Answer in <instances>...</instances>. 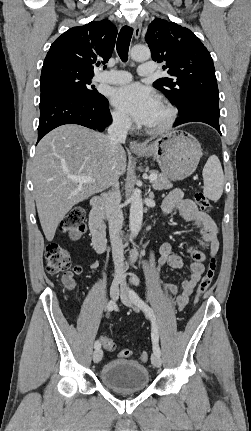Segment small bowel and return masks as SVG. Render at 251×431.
<instances>
[{"label":"small bowel","mask_w":251,"mask_h":431,"mask_svg":"<svg viewBox=\"0 0 251 431\" xmlns=\"http://www.w3.org/2000/svg\"><path fill=\"white\" fill-rule=\"evenodd\" d=\"M162 210L165 215L178 211L184 220L192 222L199 229L201 236L198 245L190 246L187 249L192 259V263L190 264L191 273L182 282L181 291H179V287L174 282L163 284L166 291L175 295V304L179 309H183L187 305L196 284L205 270L204 263L207 255L202 249H208L210 256H214L218 251V230L213 219L205 212L200 211L192 200L184 198L183 193L179 189H175L169 193L162 204ZM159 254L158 271L165 265L176 269H180L183 266V260L180 256L173 253L171 244L163 243L160 246Z\"/></svg>","instance_id":"c3829d8e"}]
</instances>
